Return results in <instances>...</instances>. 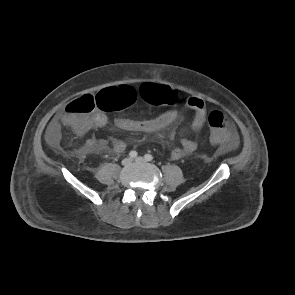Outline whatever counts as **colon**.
<instances>
[{
  "label": "colon",
  "mask_w": 295,
  "mask_h": 295,
  "mask_svg": "<svg viewBox=\"0 0 295 295\" xmlns=\"http://www.w3.org/2000/svg\"><path fill=\"white\" fill-rule=\"evenodd\" d=\"M141 97L153 105L175 106L183 101L181 93L166 86L144 84L139 91ZM137 97V91L127 85L106 88L97 95H85L68 103L62 116L65 125L76 129L95 108L105 112L118 111L131 105ZM210 140L213 144H230L235 133L227 119L220 111H212L208 115Z\"/></svg>",
  "instance_id": "colon-1"
}]
</instances>
